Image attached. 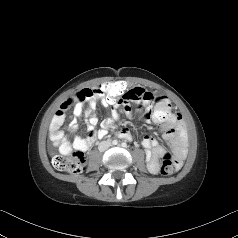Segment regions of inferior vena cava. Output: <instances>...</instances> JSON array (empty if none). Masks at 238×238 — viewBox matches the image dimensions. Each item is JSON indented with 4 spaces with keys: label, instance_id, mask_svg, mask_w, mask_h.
<instances>
[{
    "label": "inferior vena cava",
    "instance_id": "inferior-vena-cava-1",
    "mask_svg": "<svg viewBox=\"0 0 238 238\" xmlns=\"http://www.w3.org/2000/svg\"><path fill=\"white\" fill-rule=\"evenodd\" d=\"M111 146V143L109 141H102L99 146L98 149L99 151H105L107 150L109 147Z\"/></svg>",
    "mask_w": 238,
    "mask_h": 238
}]
</instances>
